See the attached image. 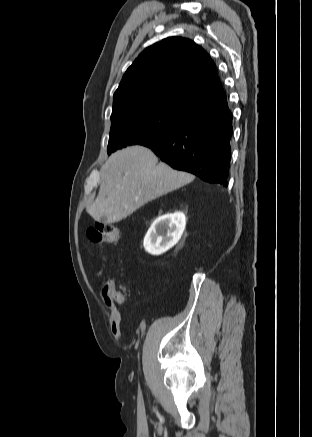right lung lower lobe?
Returning a JSON list of instances; mask_svg holds the SVG:
<instances>
[{"mask_svg": "<svg viewBox=\"0 0 312 437\" xmlns=\"http://www.w3.org/2000/svg\"><path fill=\"white\" fill-rule=\"evenodd\" d=\"M232 133V114L224 95L194 111L173 133L141 145L151 148L174 169L227 187Z\"/></svg>", "mask_w": 312, "mask_h": 437, "instance_id": "right-lung-lower-lobe-1", "label": "right lung lower lobe"}]
</instances>
